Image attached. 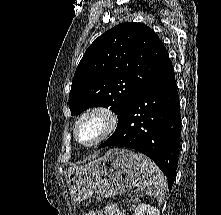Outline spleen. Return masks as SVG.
<instances>
[{
  "label": "spleen",
  "mask_w": 221,
  "mask_h": 215,
  "mask_svg": "<svg viewBox=\"0 0 221 215\" xmlns=\"http://www.w3.org/2000/svg\"><path fill=\"white\" fill-rule=\"evenodd\" d=\"M141 161V191L147 195L154 196L161 203L165 192L167 181L158 166L148 157L139 154Z\"/></svg>",
  "instance_id": "1"
}]
</instances>
